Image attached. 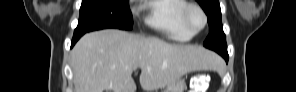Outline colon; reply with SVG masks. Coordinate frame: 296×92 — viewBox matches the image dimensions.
Wrapping results in <instances>:
<instances>
[{"instance_id": "colon-1", "label": "colon", "mask_w": 296, "mask_h": 92, "mask_svg": "<svg viewBox=\"0 0 296 92\" xmlns=\"http://www.w3.org/2000/svg\"><path fill=\"white\" fill-rule=\"evenodd\" d=\"M208 85L206 74L200 73L192 77L190 81V92H204Z\"/></svg>"}]
</instances>
